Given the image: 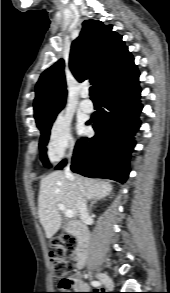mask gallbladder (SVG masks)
<instances>
[{
  "label": "gallbladder",
  "mask_w": 170,
  "mask_h": 293,
  "mask_svg": "<svg viewBox=\"0 0 170 293\" xmlns=\"http://www.w3.org/2000/svg\"><path fill=\"white\" fill-rule=\"evenodd\" d=\"M64 234L62 233L61 235H60V237H62Z\"/></svg>",
  "instance_id": "1"
}]
</instances>
